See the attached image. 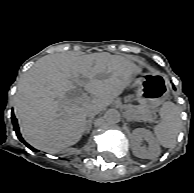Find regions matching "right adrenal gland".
Segmentation results:
<instances>
[{
	"instance_id": "1",
	"label": "right adrenal gland",
	"mask_w": 194,
	"mask_h": 193,
	"mask_svg": "<svg viewBox=\"0 0 194 193\" xmlns=\"http://www.w3.org/2000/svg\"><path fill=\"white\" fill-rule=\"evenodd\" d=\"M92 120H93V118H90V119L87 121L86 133H89V132H90V129H91V126H92Z\"/></svg>"
}]
</instances>
